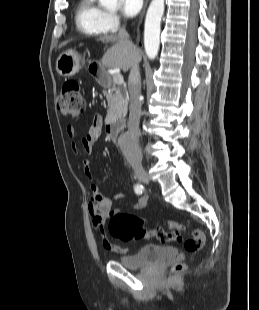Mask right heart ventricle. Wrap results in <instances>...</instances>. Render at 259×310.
Returning <instances> with one entry per match:
<instances>
[{
  "instance_id": "right-heart-ventricle-1",
  "label": "right heart ventricle",
  "mask_w": 259,
  "mask_h": 310,
  "mask_svg": "<svg viewBox=\"0 0 259 310\" xmlns=\"http://www.w3.org/2000/svg\"><path fill=\"white\" fill-rule=\"evenodd\" d=\"M105 11L96 0H80L76 11V26L79 31L98 35L107 32L104 26Z\"/></svg>"
}]
</instances>
